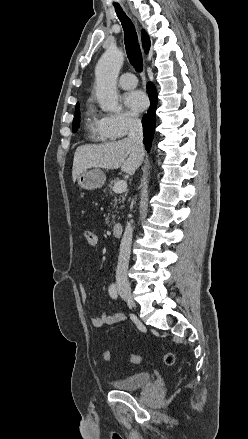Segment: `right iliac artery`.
I'll list each match as a JSON object with an SVG mask.
<instances>
[{"mask_svg": "<svg viewBox=\"0 0 248 439\" xmlns=\"http://www.w3.org/2000/svg\"><path fill=\"white\" fill-rule=\"evenodd\" d=\"M109 295L113 298V299H117L118 297V291H117V287L115 284H111L109 287Z\"/></svg>", "mask_w": 248, "mask_h": 439, "instance_id": "1", "label": "right iliac artery"}]
</instances>
